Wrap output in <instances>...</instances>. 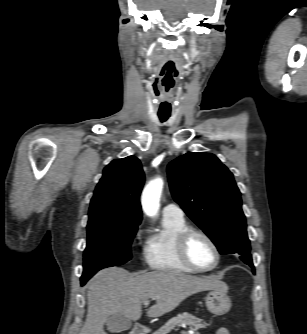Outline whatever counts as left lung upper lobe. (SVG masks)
<instances>
[{
  "label": "left lung upper lobe",
  "mask_w": 307,
  "mask_h": 334,
  "mask_svg": "<svg viewBox=\"0 0 307 334\" xmlns=\"http://www.w3.org/2000/svg\"><path fill=\"white\" fill-rule=\"evenodd\" d=\"M167 171L174 200L219 252L238 253L253 267L241 193L228 168L214 154L201 152L178 157Z\"/></svg>",
  "instance_id": "left-lung-upper-lobe-1"
}]
</instances>
